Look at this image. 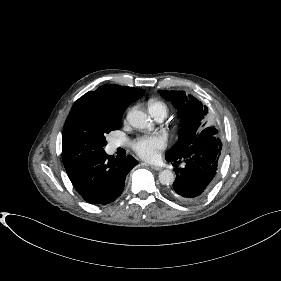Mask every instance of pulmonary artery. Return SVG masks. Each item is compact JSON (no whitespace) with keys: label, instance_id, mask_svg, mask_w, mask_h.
Listing matches in <instances>:
<instances>
[{"label":"pulmonary artery","instance_id":"pulmonary-artery-1","mask_svg":"<svg viewBox=\"0 0 281 281\" xmlns=\"http://www.w3.org/2000/svg\"><path fill=\"white\" fill-rule=\"evenodd\" d=\"M163 119H164V117H162V116L156 118L157 121H162ZM113 145H114L115 148H117V147L122 145V142L115 141Z\"/></svg>","mask_w":281,"mask_h":281}]
</instances>
